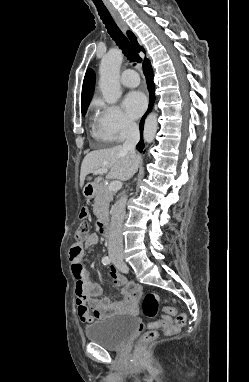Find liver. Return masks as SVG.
I'll use <instances>...</instances> for the list:
<instances>
[{
	"instance_id": "obj_1",
	"label": "liver",
	"mask_w": 249,
	"mask_h": 382,
	"mask_svg": "<svg viewBox=\"0 0 249 382\" xmlns=\"http://www.w3.org/2000/svg\"><path fill=\"white\" fill-rule=\"evenodd\" d=\"M140 161L139 155L136 154L135 157H132L128 151L123 150L121 145L91 151L82 161L80 185H84L88 174L98 169L109 170L107 177L110 179L126 181L134 174L132 171L134 163L139 165Z\"/></svg>"
}]
</instances>
